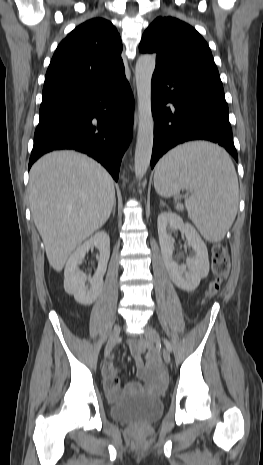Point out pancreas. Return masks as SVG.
Here are the masks:
<instances>
[{
	"label": "pancreas",
	"mask_w": 263,
	"mask_h": 465,
	"mask_svg": "<svg viewBox=\"0 0 263 465\" xmlns=\"http://www.w3.org/2000/svg\"><path fill=\"white\" fill-rule=\"evenodd\" d=\"M177 210L182 211V210H183V206L180 205V204H178V205H177Z\"/></svg>",
	"instance_id": "obj_1"
}]
</instances>
